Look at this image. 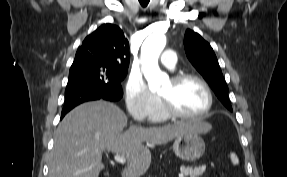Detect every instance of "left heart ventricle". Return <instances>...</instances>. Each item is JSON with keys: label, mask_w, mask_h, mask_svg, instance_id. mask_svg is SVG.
I'll return each mask as SVG.
<instances>
[{"label": "left heart ventricle", "mask_w": 287, "mask_h": 177, "mask_svg": "<svg viewBox=\"0 0 287 177\" xmlns=\"http://www.w3.org/2000/svg\"><path fill=\"white\" fill-rule=\"evenodd\" d=\"M159 95L170 98L178 111L187 114L201 113L208 101L204 89L195 81H186L179 87H174L169 81L159 91Z\"/></svg>", "instance_id": "1"}]
</instances>
